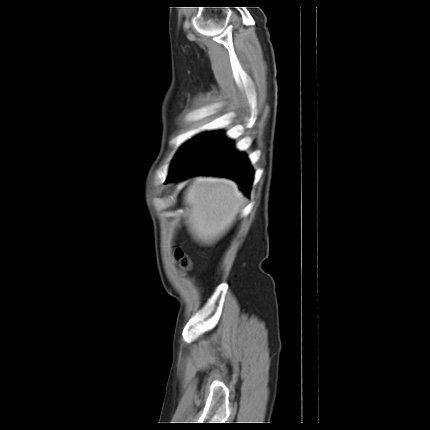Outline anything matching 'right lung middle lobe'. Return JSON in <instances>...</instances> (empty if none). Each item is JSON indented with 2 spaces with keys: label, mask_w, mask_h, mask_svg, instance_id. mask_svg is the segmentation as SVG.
<instances>
[{
  "label": "right lung middle lobe",
  "mask_w": 430,
  "mask_h": 430,
  "mask_svg": "<svg viewBox=\"0 0 430 430\" xmlns=\"http://www.w3.org/2000/svg\"><path fill=\"white\" fill-rule=\"evenodd\" d=\"M222 135L219 132H212L202 134L193 140L189 141L184 148L176 156L173 165L171 167L170 174L179 171L183 167L189 165L196 160L205 151L214 146L217 142L222 139Z\"/></svg>",
  "instance_id": "right-lung-middle-lobe-1"
}]
</instances>
